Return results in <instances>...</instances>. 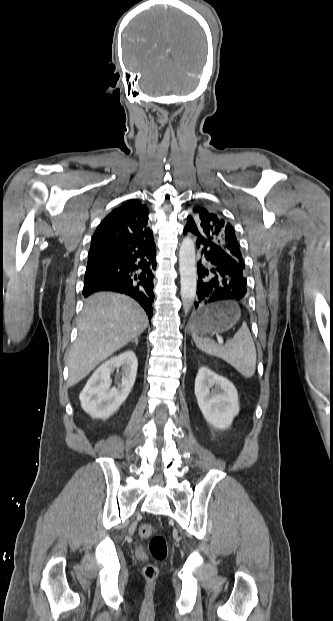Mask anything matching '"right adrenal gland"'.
<instances>
[{
  "instance_id": "right-adrenal-gland-1",
  "label": "right adrenal gland",
  "mask_w": 333,
  "mask_h": 621,
  "mask_svg": "<svg viewBox=\"0 0 333 621\" xmlns=\"http://www.w3.org/2000/svg\"><path fill=\"white\" fill-rule=\"evenodd\" d=\"M131 342H134L136 345H138V338L136 337L134 340H132Z\"/></svg>"
}]
</instances>
